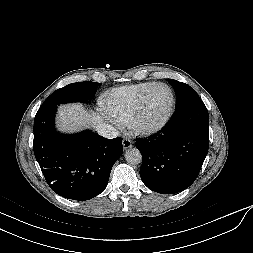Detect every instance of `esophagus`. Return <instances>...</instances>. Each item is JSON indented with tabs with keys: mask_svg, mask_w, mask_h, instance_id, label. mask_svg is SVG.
I'll return each mask as SVG.
<instances>
[{
	"mask_svg": "<svg viewBox=\"0 0 253 253\" xmlns=\"http://www.w3.org/2000/svg\"><path fill=\"white\" fill-rule=\"evenodd\" d=\"M122 144H123L124 149H128L132 147V141L127 138L123 139Z\"/></svg>",
	"mask_w": 253,
	"mask_h": 253,
	"instance_id": "34e87169",
	"label": "esophagus"
}]
</instances>
